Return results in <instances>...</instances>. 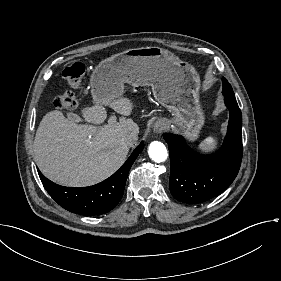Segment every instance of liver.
<instances>
[{
  "mask_svg": "<svg viewBox=\"0 0 281 281\" xmlns=\"http://www.w3.org/2000/svg\"><path fill=\"white\" fill-rule=\"evenodd\" d=\"M105 106L121 116L119 122L98 130L66 119L61 111H50L42 118L34 138V155L45 176L65 186H92L121 167L130 145L122 144L120 136L137 135L139 126L127 118L131 108L126 99ZM105 106L85 110V119L102 123L107 117Z\"/></svg>",
  "mask_w": 281,
  "mask_h": 281,
  "instance_id": "liver-1",
  "label": "liver"
}]
</instances>
